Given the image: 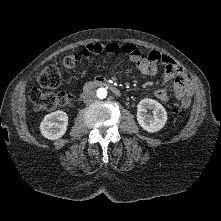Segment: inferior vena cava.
I'll use <instances>...</instances> for the list:
<instances>
[{
  "mask_svg": "<svg viewBox=\"0 0 221 221\" xmlns=\"http://www.w3.org/2000/svg\"><path fill=\"white\" fill-rule=\"evenodd\" d=\"M96 100V94L94 92H87L83 95V101L86 104L92 103Z\"/></svg>",
  "mask_w": 221,
  "mask_h": 221,
  "instance_id": "602c4592",
  "label": "inferior vena cava"
}]
</instances>
